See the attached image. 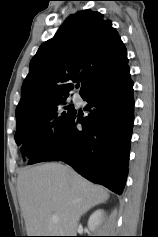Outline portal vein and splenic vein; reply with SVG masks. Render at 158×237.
I'll return each mask as SVG.
<instances>
[{
    "mask_svg": "<svg viewBox=\"0 0 158 237\" xmlns=\"http://www.w3.org/2000/svg\"><path fill=\"white\" fill-rule=\"evenodd\" d=\"M51 220H52L53 222H58V221H59V217H58L57 215H53V216L51 217Z\"/></svg>",
    "mask_w": 158,
    "mask_h": 237,
    "instance_id": "18ae733b",
    "label": "portal vein and splenic vein"
}]
</instances>
